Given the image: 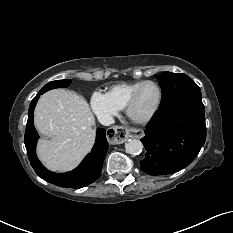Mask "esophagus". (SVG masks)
I'll return each mask as SVG.
<instances>
[{"label": "esophagus", "instance_id": "obj_1", "mask_svg": "<svg viewBox=\"0 0 233 233\" xmlns=\"http://www.w3.org/2000/svg\"><path fill=\"white\" fill-rule=\"evenodd\" d=\"M143 131L140 129H127L123 126H113L106 133V140L110 144H120L127 140L128 137L141 138Z\"/></svg>", "mask_w": 233, "mask_h": 233}]
</instances>
